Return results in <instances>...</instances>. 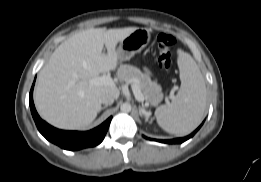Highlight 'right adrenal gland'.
<instances>
[{
	"mask_svg": "<svg viewBox=\"0 0 261 182\" xmlns=\"http://www.w3.org/2000/svg\"><path fill=\"white\" fill-rule=\"evenodd\" d=\"M106 107H107L106 105H105V106H103V107H101V110H104ZM101 110H100V111H101Z\"/></svg>",
	"mask_w": 261,
	"mask_h": 182,
	"instance_id": "2a0ac1e0",
	"label": "right adrenal gland"
}]
</instances>
